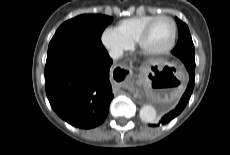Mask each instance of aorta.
I'll use <instances>...</instances> for the list:
<instances>
[{
	"instance_id": "1",
	"label": "aorta",
	"mask_w": 230,
	"mask_h": 155,
	"mask_svg": "<svg viewBox=\"0 0 230 155\" xmlns=\"http://www.w3.org/2000/svg\"><path fill=\"white\" fill-rule=\"evenodd\" d=\"M157 118L156 109L151 105H144L140 109V119L146 123H154Z\"/></svg>"
}]
</instances>
